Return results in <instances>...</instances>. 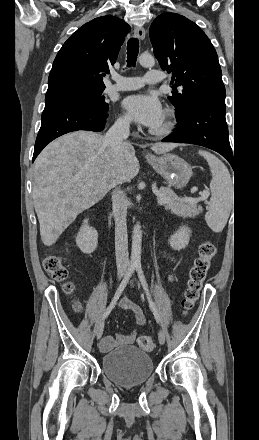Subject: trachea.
I'll return each mask as SVG.
<instances>
[{
	"instance_id": "trachea-1",
	"label": "trachea",
	"mask_w": 259,
	"mask_h": 440,
	"mask_svg": "<svg viewBox=\"0 0 259 440\" xmlns=\"http://www.w3.org/2000/svg\"><path fill=\"white\" fill-rule=\"evenodd\" d=\"M139 52V40L130 38L127 43V67L135 66Z\"/></svg>"
}]
</instances>
